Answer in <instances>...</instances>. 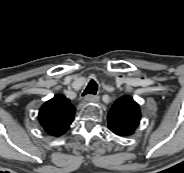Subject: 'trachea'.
I'll use <instances>...</instances> for the list:
<instances>
[{
    "label": "trachea",
    "instance_id": "3493384b",
    "mask_svg": "<svg viewBox=\"0 0 184 173\" xmlns=\"http://www.w3.org/2000/svg\"><path fill=\"white\" fill-rule=\"evenodd\" d=\"M96 92H97V83L93 79H91L88 86L84 90L82 96L87 95V94H94L95 95Z\"/></svg>",
    "mask_w": 184,
    "mask_h": 173
}]
</instances>
